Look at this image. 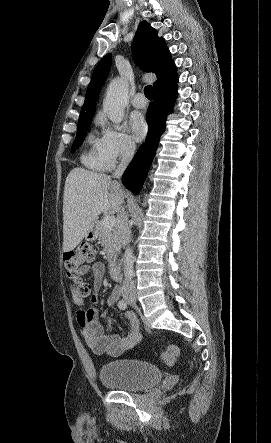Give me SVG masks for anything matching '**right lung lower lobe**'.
<instances>
[{
    "mask_svg": "<svg viewBox=\"0 0 271 443\" xmlns=\"http://www.w3.org/2000/svg\"><path fill=\"white\" fill-rule=\"evenodd\" d=\"M177 82L178 78L153 90V102L149 105L146 116L148 134L145 143L140 146L123 174L124 185L135 194H138L143 186L159 138L165 130L166 116L172 112V107L177 98Z\"/></svg>",
    "mask_w": 271,
    "mask_h": 443,
    "instance_id": "obj_1",
    "label": "right lung lower lobe"
}]
</instances>
